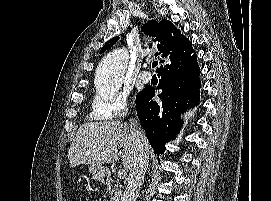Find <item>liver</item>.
I'll return each instance as SVG.
<instances>
[{"mask_svg": "<svg viewBox=\"0 0 271 201\" xmlns=\"http://www.w3.org/2000/svg\"><path fill=\"white\" fill-rule=\"evenodd\" d=\"M118 148H122V163L130 172L136 149L129 124L122 121L88 122L79 127L67 158L71 167L109 164L117 161Z\"/></svg>", "mask_w": 271, "mask_h": 201, "instance_id": "obj_1", "label": "liver"}]
</instances>
